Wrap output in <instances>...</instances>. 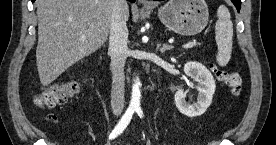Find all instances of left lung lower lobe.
<instances>
[{"instance_id":"0a47b994","label":"left lung lower lobe","mask_w":276,"mask_h":145,"mask_svg":"<svg viewBox=\"0 0 276 145\" xmlns=\"http://www.w3.org/2000/svg\"><path fill=\"white\" fill-rule=\"evenodd\" d=\"M156 1H161V0H156ZM235 7L237 8L238 12L240 11L241 8V0H231Z\"/></svg>"}]
</instances>
